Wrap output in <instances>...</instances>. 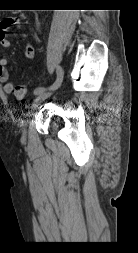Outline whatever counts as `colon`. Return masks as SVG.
<instances>
[{
  "mask_svg": "<svg viewBox=\"0 0 138 253\" xmlns=\"http://www.w3.org/2000/svg\"><path fill=\"white\" fill-rule=\"evenodd\" d=\"M13 93L17 100L25 101L29 93L28 86L26 84H20L14 88Z\"/></svg>",
  "mask_w": 138,
  "mask_h": 253,
  "instance_id": "1",
  "label": "colon"
}]
</instances>
